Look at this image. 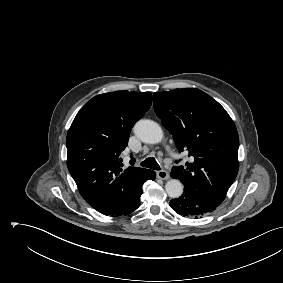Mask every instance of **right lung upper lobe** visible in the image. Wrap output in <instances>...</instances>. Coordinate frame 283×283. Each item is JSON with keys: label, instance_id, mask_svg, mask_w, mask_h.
I'll list each match as a JSON object with an SVG mask.
<instances>
[{"label": "right lung upper lobe", "instance_id": "cb5924a9", "mask_svg": "<svg viewBox=\"0 0 283 283\" xmlns=\"http://www.w3.org/2000/svg\"><path fill=\"white\" fill-rule=\"evenodd\" d=\"M149 92L97 95L77 113L67 133V167L86 202L103 214L123 215L140 201L151 170L122 169L121 152L136 121L151 107Z\"/></svg>", "mask_w": 283, "mask_h": 283}]
</instances>
